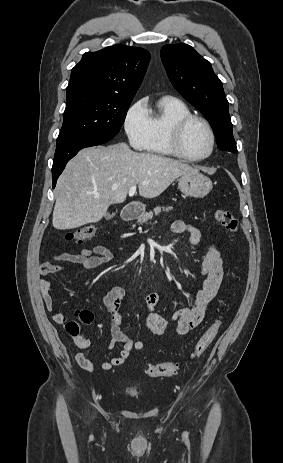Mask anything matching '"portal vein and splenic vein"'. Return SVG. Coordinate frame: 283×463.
Listing matches in <instances>:
<instances>
[{
    "mask_svg": "<svg viewBox=\"0 0 283 463\" xmlns=\"http://www.w3.org/2000/svg\"><path fill=\"white\" fill-rule=\"evenodd\" d=\"M143 184H146V182H143ZM136 193V185L132 186L129 190V196L132 197Z\"/></svg>",
    "mask_w": 283,
    "mask_h": 463,
    "instance_id": "1",
    "label": "portal vein and splenic vein"
}]
</instances>
